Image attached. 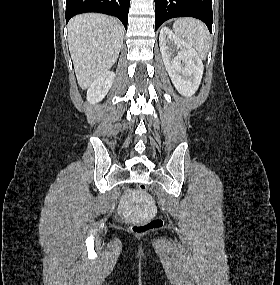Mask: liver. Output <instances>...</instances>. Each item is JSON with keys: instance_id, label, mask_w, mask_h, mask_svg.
Listing matches in <instances>:
<instances>
[{"instance_id": "6515ba94", "label": "liver", "mask_w": 280, "mask_h": 285, "mask_svg": "<svg viewBox=\"0 0 280 285\" xmlns=\"http://www.w3.org/2000/svg\"><path fill=\"white\" fill-rule=\"evenodd\" d=\"M123 37V26L107 15L85 13L69 21V50L82 89L88 88L114 65Z\"/></svg>"}]
</instances>
